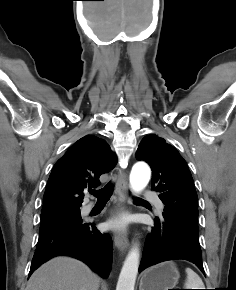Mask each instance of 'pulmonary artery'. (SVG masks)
Segmentation results:
<instances>
[{"label": "pulmonary artery", "mask_w": 236, "mask_h": 290, "mask_svg": "<svg viewBox=\"0 0 236 290\" xmlns=\"http://www.w3.org/2000/svg\"><path fill=\"white\" fill-rule=\"evenodd\" d=\"M143 198L145 200H151V201H154L158 210L161 212L163 210V203L157 199V195L155 192L153 191H146L143 193ZM92 208V204H87L85 205L84 207V212H88L90 211Z\"/></svg>", "instance_id": "e3ab8cb5"}]
</instances>
